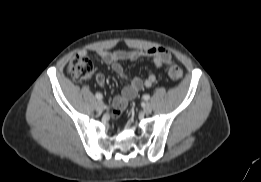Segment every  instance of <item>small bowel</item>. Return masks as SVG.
Wrapping results in <instances>:
<instances>
[{"mask_svg": "<svg viewBox=\"0 0 261 182\" xmlns=\"http://www.w3.org/2000/svg\"><path fill=\"white\" fill-rule=\"evenodd\" d=\"M96 53L104 64L112 67L113 71L119 78L128 81V84L123 88L121 94L113 99L114 110L112 112V116L115 118L121 114L127 102L134 98L144 86L150 87L156 80V76L153 72H150L144 79L140 77L130 78L126 74L122 63L124 61H136L142 57H148L152 59L157 68H161L171 63L172 60L171 54L163 47H150L136 50H117L114 52L99 49ZM79 55L86 57L87 52L80 51ZM96 82L98 85L103 86L105 84L104 75L97 74Z\"/></svg>", "mask_w": 261, "mask_h": 182, "instance_id": "small-bowel-1", "label": "small bowel"}]
</instances>
